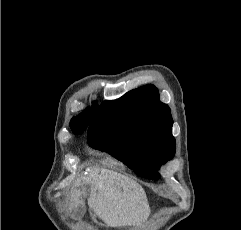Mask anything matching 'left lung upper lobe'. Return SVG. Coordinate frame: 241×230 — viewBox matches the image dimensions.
<instances>
[{
  "label": "left lung upper lobe",
  "instance_id": "5c2ea615",
  "mask_svg": "<svg viewBox=\"0 0 241 230\" xmlns=\"http://www.w3.org/2000/svg\"><path fill=\"white\" fill-rule=\"evenodd\" d=\"M172 125L170 108L148 84L104 101L88 129V144L112 154L137 175L157 179L159 166L175 154Z\"/></svg>",
  "mask_w": 241,
  "mask_h": 230
}]
</instances>
